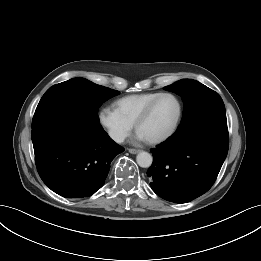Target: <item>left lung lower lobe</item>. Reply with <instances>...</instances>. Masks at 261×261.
Here are the masks:
<instances>
[{"label":"left lung lower lobe","mask_w":261,"mask_h":261,"mask_svg":"<svg viewBox=\"0 0 261 261\" xmlns=\"http://www.w3.org/2000/svg\"><path fill=\"white\" fill-rule=\"evenodd\" d=\"M226 118L174 133L151 149L153 164L147 171L152 190L163 199L187 203L214 184L228 153Z\"/></svg>","instance_id":"left-lung-lower-lobe-1"}]
</instances>
